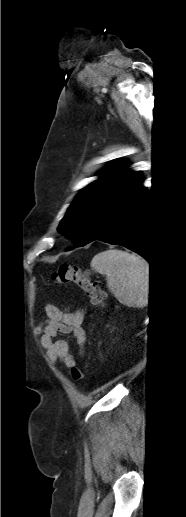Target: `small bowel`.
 Segmentation results:
<instances>
[{
  "label": "small bowel",
  "instance_id": "small-bowel-1",
  "mask_svg": "<svg viewBox=\"0 0 186 517\" xmlns=\"http://www.w3.org/2000/svg\"><path fill=\"white\" fill-rule=\"evenodd\" d=\"M46 313L48 320L43 330L41 343L46 350L47 358L53 364L61 363L67 368H71L76 364V361L70 352L69 344L66 340L57 337L59 334L72 335L82 352L86 340V333L83 328L84 311L70 312L53 304H48Z\"/></svg>",
  "mask_w": 186,
  "mask_h": 517
}]
</instances>
